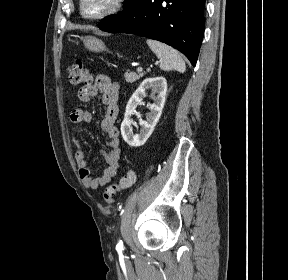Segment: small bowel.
<instances>
[{
	"label": "small bowel",
	"mask_w": 288,
	"mask_h": 280,
	"mask_svg": "<svg viewBox=\"0 0 288 280\" xmlns=\"http://www.w3.org/2000/svg\"><path fill=\"white\" fill-rule=\"evenodd\" d=\"M118 90L119 85L111 81L106 75H96L94 82L82 86L78 91V97L82 102H89L98 94L101 95L105 105V114L101 120V129L107 135V151H101L107 167L99 177H93L86 160V151L76 137L73 142L76 146L75 159L78 167V174L84 187L88 189H98L108 184L117 174L120 167L121 149L120 133L116 126V120L119 113L118 108ZM70 120L73 124L88 123L92 120L91 112L82 108H75L70 114Z\"/></svg>",
	"instance_id": "obj_1"
}]
</instances>
